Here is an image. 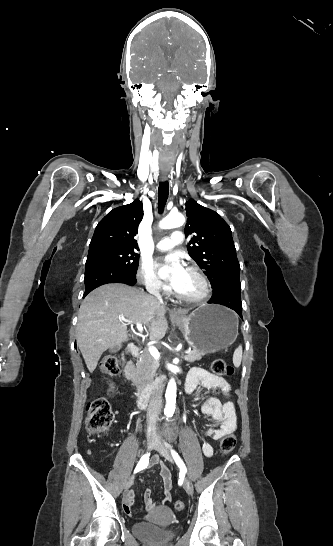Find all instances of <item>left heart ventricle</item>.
I'll return each instance as SVG.
<instances>
[{
  "label": "left heart ventricle",
  "mask_w": 333,
  "mask_h": 546,
  "mask_svg": "<svg viewBox=\"0 0 333 546\" xmlns=\"http://www.w3.org/2000/svg\"><path fill=\"white\" fill-rule=\"evenodd\" d=\"M203 291V285L199 278L192 272L188 271L187 279L184 286L178 291L185 296H197Z\"/></svg>",
  "instance_id": "b2bd125f"
}]
</instances>
